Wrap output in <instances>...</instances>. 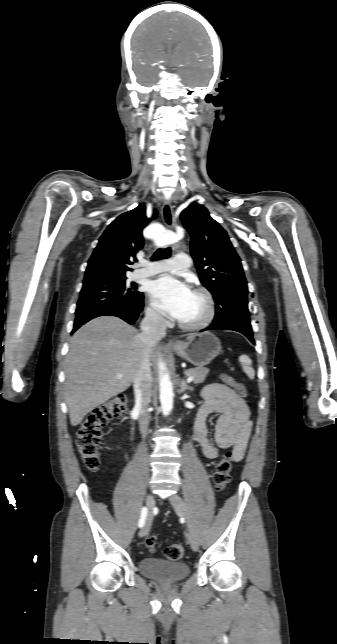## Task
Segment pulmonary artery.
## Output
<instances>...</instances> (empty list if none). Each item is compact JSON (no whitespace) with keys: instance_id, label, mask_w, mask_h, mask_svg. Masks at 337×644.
<instances>
[{"instance_id":"pulmonary-artery-1","label":"pulmonary artery","mask_w":337,"mask_h":644,"mask_svg":"<svg viewBox=\"0 0 337 644\" xmlns=\"http://www.w3.org/2000/svg\"><path fill=\"white\" fill-rule=\"evenodd\" d=\"M190 265V256L185 253H179L172 259L148 263L144 268L136 270L133 273V278L141 279L162 272H178L189 268Z\"/></svg>"}]
</instances>
